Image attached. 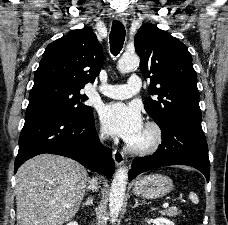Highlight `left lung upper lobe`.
Returning a JSON list of instances; mask_svg holds the SVG:
<instances>
[{"label":"left lung upper lobe","mask_w":228,"mask_h":225,"mask_svg":"<svg viewBox=\"0 0 228 225\" xmlns=\"http://www.w3.org/2000/svg\"><path fill=\"white\" fill-rule=\"evenodd\" d=\"M134 44L141 72L150 78L149 93L158 96L144 101L152 119L159 127L173 119L201 122L197 75L187 47L151 23L140 27Z\"/></svg>","instance_id":"1"}]
</instances>
